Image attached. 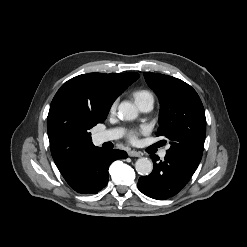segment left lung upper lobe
<instances>
[{"label":"left lung upper lobe","mask_w":247,"mask_h":247,"mask_svg":"<svg viewBox=\"0 0 247 247\" xmlns=\"http://www.w3.org/2000/svg\"><path fill=\"white\" fill-rule=\"evenodd\" d=\"M145 80L160 101L157 136L170 140L167 154L198 165L202 158L206 118L196 91L184 81L157 73H145Z\"/></svg>","instance_id":"5c2ea615"}]
</instances>
